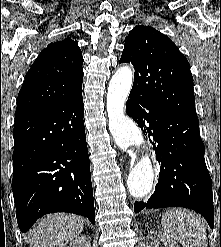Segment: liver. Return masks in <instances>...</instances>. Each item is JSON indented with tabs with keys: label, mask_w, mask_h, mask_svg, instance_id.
<instances>
[{
	"label": "liver",
	"mask_w": 221,
	"mask_h": 247,
	"mask_svg": "<svg viewBox=\"0 0 221 247\" xmlns=\"http://www.w3.org/2000/svg\"><path fill=\"white\" fill-rule=\"evenodd\" d=\"M84 219L80 216L55 213L37 222L26 236L30 247H64L79 236Z\"/></svg>",
	"instance_id": "1"
}]
</instances>
